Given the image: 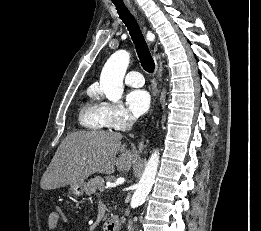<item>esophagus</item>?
<instances>
[{
  "mask_svg": "<svg viewBox=\"0 0 261 231\" xmlns=\"http://www.w3.org/2000/svg\"><path fill=\"white\" fill-rule=\"evenodd\" d=\"M126 4H127V6L131 9V11H132L135 15H137V12L135 11V8L132 6L130 0H126Z\"/></svg>",
  "mask_w": 261,
  "mask_h": 231,
  "instance_id": "esophagus-1",
  "label": "esophagus"
}]
</instances>
